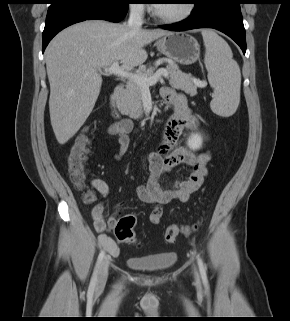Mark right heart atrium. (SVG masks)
<instances>
[{
    "mask_svg": "<svg viewBox=\"0 0 290 321\" xmlns=\"http://www.w3.org/2000/svg\"><path fill=\"white\" fill-rule=\"evenodd\" d=\"M130 11L138 16H142L146 12L145 0H133L129 6Z\"/></svg>",
    "mask_w": 290,
    "mask_h": 321,
    "instance_id": "right-heart-atrium-1",
    "label": "right heart atrium"
}]
</instances>
